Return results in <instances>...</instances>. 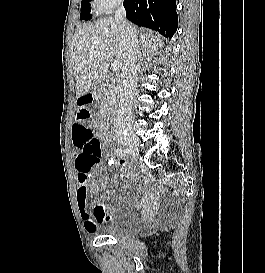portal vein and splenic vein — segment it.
I'll return each instance as SVG.
<instances>
[{
	"label": "portal vein and splenic vein",
	"instance_id": "18ae733b",
	"mask_svg": "<svg viewBox=\"0 0 265 273\" xmlns=\"http://www.w3.org/2000/svg\"><path fill=\"white\" fill-rule=\"evenodd\" d=\"M112 69L114 70V71H118V70H120L122 67H123V64H122V62L121 61H114L113 63H112Z\"/></svg>",
	"mask_w": 265,
	"mask_h": 273
}]
</instances>
